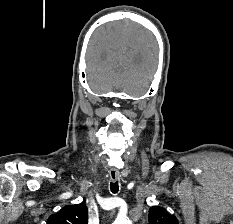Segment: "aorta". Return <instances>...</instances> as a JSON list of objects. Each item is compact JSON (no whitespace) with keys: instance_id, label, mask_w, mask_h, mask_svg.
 I'll use <instances>...</instances> for the list:
<instances>
[{"instance_id":"aorta-1","label":"aorta","mask_w":233,"mask_h":224,"mask_svg":"<svg viewBox=\"0 0 233 224\" xmlns=\"http://www.w3.org/2000/svg\"><path fill=\"white\" fill-rule=\"evenodd\" d=\"M113 224H132V222L124 216H118Z\"/></svg>"}]
</instances>
